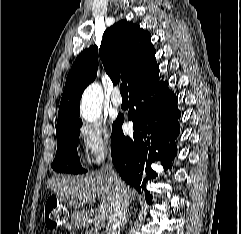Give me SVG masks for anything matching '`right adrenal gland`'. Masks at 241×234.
I'll list each match as a JSON object with an SVG mask.
<instances>
[{
    "mask_svg": "<svg viewBox=\"0 0 241 234\" xmlns=\"http://www.w3.org/2000/svg\"><path fill=\"white\" fill-rule=\"evenodd\" d=\"M127 218H128V215L125 217V221L123 223V227L127 224Z\"/></svg>",
    "mask_w": 241,
    "mask_h": 234,
    "instance_id": "1",
    "label": "right adrenal gland"
}]
</instances>
